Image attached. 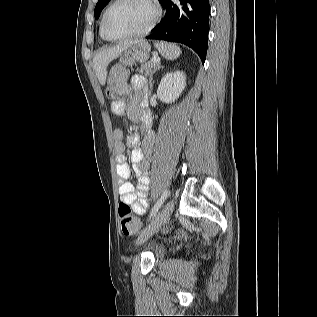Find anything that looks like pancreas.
I'll return each mask as SVG.
<instances>
[{"instance_id": "pancreas-1", "label": "pancreas", "mask_w": 317, "mask_h": 317, "mask_svg": "<svg viewBox=\"0 0 317 317\" xmlns=\"http://www.w3.org/2000/svg\"><path fill=\"white\" fill-rule=\"evenodd\" d=\"M155 68H156V64H154L153 61H146L145 64H143L140 67L139 72L147 76V75H151L153 71L155 70Z\"/></svg>"}]
</instances>
